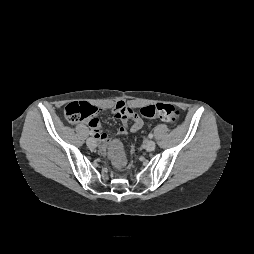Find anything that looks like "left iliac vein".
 Instances as JSON below:
<instances>
[{
    "label": "left iliac vein",
    "instance_id": "4c4485c4",
    "mask_svg": "<svg viewBox=\"0 0 254 254\" xmlns=\"http://www.w3.org/2000/svg\"><path fill=\"white\" fill-rule=\"evenodd\" d=\"M156 147V144L153 140H148L145 144V149L149 152L153 151Z\"/></svg>",
    "mask_w": 254,
    "mask_h": 254
}]
</instances>
